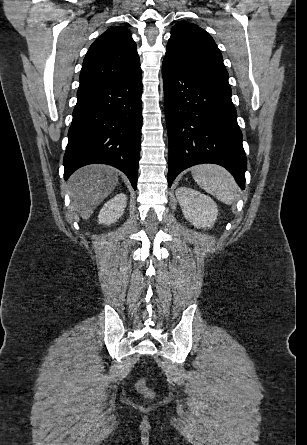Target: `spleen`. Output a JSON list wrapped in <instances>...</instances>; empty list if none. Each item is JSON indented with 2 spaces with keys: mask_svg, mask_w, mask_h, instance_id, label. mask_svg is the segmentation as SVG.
Instances as JSON below:
<instances>
[{
  "mask_svg": "<svg viewBox=\"0 0 307 445\" xmlns=\"http://www.w3.org/2000/svg\"><path fill=\"white\" fill-rule=\"evenodd\" d=\"M191 172L194 180L206 192H210L225 204H232L238 192V186L226 168L218 164H198V166H192Z\"/></svg>",
  "mask_w": 307,
  "mask_h": 445,
  "instance_id": "spleen-1",
  "label": "spleen"
}]
</instances>
